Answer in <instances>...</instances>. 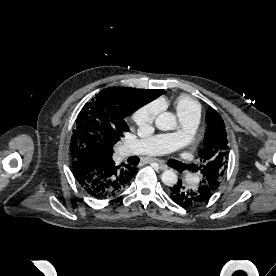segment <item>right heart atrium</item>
<instances>
[{"mask_svg": "<svg viewBox=\"0 0 276 276\" xmlns=\"http://www.w3.org/2000/svg\"><path fill=\"white\" fill-rule=\"evenodd\" d=\"M158 112V105L156 103H150L137 109L132 118L139 128L146 129L152 125Z\"/></svg>", "mask_w": 276, "mask_h": 276, "instance_id": "obj_1", "label": "right heart atrium"}]
</instances>
